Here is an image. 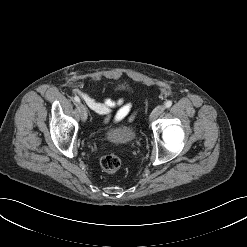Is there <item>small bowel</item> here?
<instances>
[{
    "label": "small bowel",
    "mask_w": 247,
    "mask_h": 247,
    "mask_svg": "<svg viewBox=\"0 0 247 247\" xmlns=\"http://www.w3.org/2000/svg\"><path fill=\"white\" fill-rule=\"evenodd\" d=\"M87 105L96 113L104 116V123L120 122L132 117V105L123 98L105 97L102 101H97L86 92L76 90Z\"/></svg>",
    "instance_id": "obj_1"
}]
</instances>
